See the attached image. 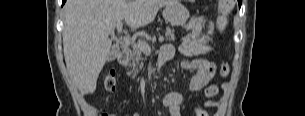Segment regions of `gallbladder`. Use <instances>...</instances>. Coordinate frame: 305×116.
I'll list each match as a JSON object with an SVG mask.
<instances>
[{"mask_svg": "<svg viewBox=\"0 0 305 116\" xmlns=\"http://www.w3.org/2000/svg\"><path fill=\"white\" fill-rule=\"evenodd\" d=\"M117 57V49H112L107 56L108 61H113Z\"/></svg>", "mask_w": 305, "mask_h": 116, "instance_id": "gallbladder-1", "label": "gallbladder"}]
</instances>
